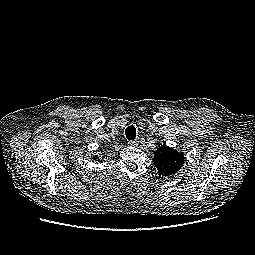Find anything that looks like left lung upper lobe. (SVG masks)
<instances>
[{"instance_id": "1", "label": "left lung upper lobe", "mask_w": 255, "mask_h": 255, "mask_svg": "<svg viewBox=\"0 0 255 255\" xmlns=\"http://www.w3.org/2000/svg\"><path fill=\"white\" fill-rule=\"evenodd\" d=\"M153 162L160 175L170 176L181 169L184 155L173 148L162 146L155 152Z\"/></svg>"}]
</instances>
